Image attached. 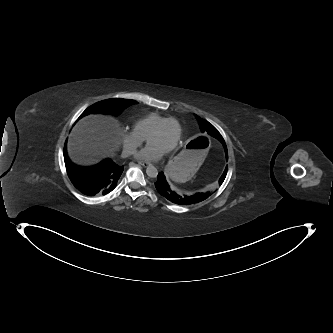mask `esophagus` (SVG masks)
I'll use <instances>...</instances> for the list:
<instances>
[{
  "instance_id": "1",
  "label": "esophagus",
  "mask_w": 333,
  "mask_h": 333,
  "mask_svg": "<svg viewBox=\"0 0 333 333\" xmlns=\"http://www.w3.org/2000/svg\"><path fill=\"white\" fill-rule=\"evenodd\" d=\"M138 163H139L140 165H142L143 167H147V166L150 165V163L147 162V161H138Z\"/></svg>"
}]
</instances>
